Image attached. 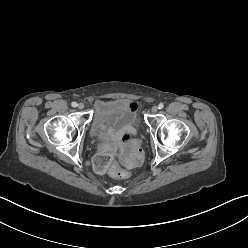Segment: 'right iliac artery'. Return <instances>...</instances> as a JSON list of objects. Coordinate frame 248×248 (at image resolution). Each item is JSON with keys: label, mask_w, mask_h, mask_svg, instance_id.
I'll use <instances>...</instances> for the list:
<instances>
[{"label": "right iliac artery", "mask_w": 248, "mask_h": 248, "mask_svg": "<svg viewBox=\"0 0 248 248\" xmlns=\"http://www.w3.org/2000/svg\"><path fill=\"white\" fill-rule=\"evenodd\" d=\"M72 107H76L77 106V103L76 102H72Z\"/></svg>", "instance_id": "82829eb1"}]
</instances>
